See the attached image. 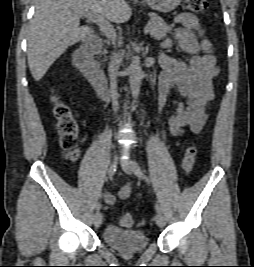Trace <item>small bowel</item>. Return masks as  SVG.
Instances as JSON below:
<instances>
[{
  "mask_svg": "<svg viewBox=\"0 0 254 267\" xmlns=\"http://www.w3.org/2000/svg\"><path fill=\"white\" fill-rule=\"evenodd\" d=\"M174 21L180 27L176 29L173 39L165 40L162 46L170 47L176 41L191 58L188 62H183L160 53L162 72L159 78L158 103L162 108L170 91L175 90L177 99L173 102L169 125L171 134L180 136L185 128L194 133L203 128L208 107L214 98L212 80L218 73V67L212 44L206 38L198 18L191 13H180ZM130 194L131 186L125 184L118 190L117 196L120 200H126ZM104 201L111 206L115 204L116 197L106 192Z\"/></svg>",
  "mask_w": 254,
  "mask_h": 267,
  "instance_id": "small-bowel-1",
  "label": "small bowel"
}]
</instances>
